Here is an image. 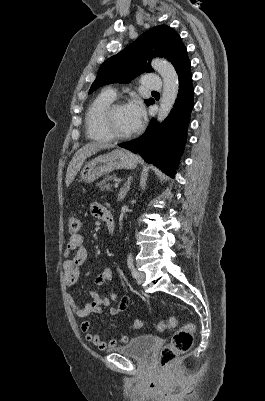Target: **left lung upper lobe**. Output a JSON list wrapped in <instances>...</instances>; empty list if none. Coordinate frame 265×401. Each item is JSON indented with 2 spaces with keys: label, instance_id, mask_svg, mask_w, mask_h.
Instances as JSON below:
<instances>
[{
  "label": "left lung upper lobe",
  "instance_id": "left-lung-upper-lobe-1",
  "mask_svg": "<svg viewBox=\"0 0 265 401\" xmlns=\"http://www.w3.org/2000/svg\"><path fill=\"white\" fill-rule=\"evenodd\" d=\"M164 57L175 69L188 58L180 36L167 25L156 26L144 32L135 42L110 57L100 67L89 94L110 83H128L143 72L152 71L150 60ZM153 99L145 100L150 105Z\"/></svg>",
  "mask_w": 265,
  "mask_h": 401
}]
</instances>
